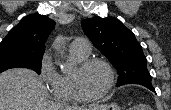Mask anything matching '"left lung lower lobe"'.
<instances>
[{
  "instance_id": "obj_1",
  "label": "left lung lower lobe",
  "mask_w": 171,
  "mask_h": 110,
  "mask_svg": "<svg viewBox=\"0 0 171 110\" xmlns=\"http://www.w3.org/2000/svg\"><path fill=\"white\" fill-rule=\"evenodd\" d=\"M148 89H150L151 91L155 92V89L153 88V86H146Z\"/></svg>"
}]
</instances>
